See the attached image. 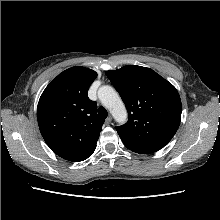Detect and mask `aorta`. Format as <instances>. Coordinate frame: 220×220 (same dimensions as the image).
<instances>
[{"instance_id": "762f6f07", "label": "aorta", "mask_w": 220, "mask_h": 220, "mask_svg": "<svg viewBox=\"0 0 220 220\" xmlns=\"http://www.w3.org/2000/svg\"><path fill=\"white\" fill-rule=\"evenodd\" d=\"M98 98L117 122L124 123L126 121L127 111L125 105L113 87L108 85L100 87Z\"/></svg>"}]
</instances>
